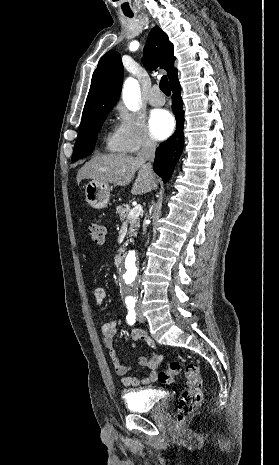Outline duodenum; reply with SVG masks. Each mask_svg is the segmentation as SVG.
Segmentation results:
<instances>
[{
    "instance_id": "obj_1",
    "label": "duodenum",
    "mask_w": 279,
    "mask_h": 465,
    "mask_svg": "<svg viewBox=\"0 0 279 465\" xmlns=\"http://www.w3.org/2000/svg\"><path fill=\"white\" fill-rule=\"evenodd\" d=\"M123 258H124V250L122 249L114 257L115 264L119 266L122 263Z\"/></svg>"
}]
</instances>
